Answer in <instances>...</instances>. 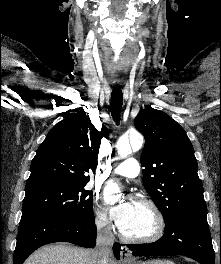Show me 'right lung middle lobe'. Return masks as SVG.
<instances>
[{
    "instance_id": "right-lung-middle-lobe-1",
    "label": "right lung middle lobe",
    "mask_w": 221,
    "mask_h": 264,
    "mask_svg": "<svg viewBox=\"0 0 221 264\" xmlns=\"http://www.w3.org/2000/svg\"><path fill=\"white\" fill-rule=\"evenodd\" d=\"M25 191L21 219H83L93 215V195L84 185L52 183Z\"/></svg>"
}]
</instances>
